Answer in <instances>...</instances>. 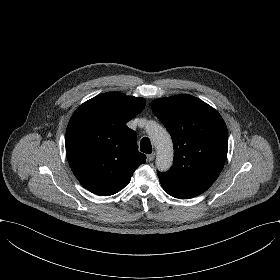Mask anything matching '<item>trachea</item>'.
I'll list each match as a JSON object with an SVG mask.
<instances>
[{
	"label": "trachea",
	"mask_w": 280,
	"mask_h": 280,
	"mask_svg": "<svg viewBox=\"0 0 280 280\" xmlns=\"http://www.w3.org/2000/svg\"><path fill=\"white\" fill-rule=\"evenodd\" d=\"M140 150L146 154L152 152V145L150 140L147 137H144L140 142Z\"/></svg>",
	"instance_id": "trachea-1"
}]
</instances>
